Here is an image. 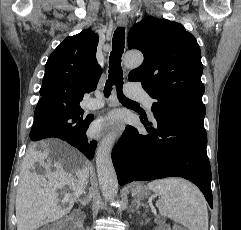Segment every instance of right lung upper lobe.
I'll return each instance as SVG.
<instances>
[{"label": "right lung upper lobe", "instance_id": "1", "mask_svg": "<svg viewBox=\"0 0 241 230\" xmlns=\"http://www.w3.org/2000/svg\"><path fill=\"white\" fill-rule=\"evenodd\" d=\"M98 35L91 30L67 37L50 55L40 89L37 113L55 107L79 106L93 91L101 68L96 60Z\"/></svg>", "mask_w": 241, "mask_h": 230}]
</instances>
